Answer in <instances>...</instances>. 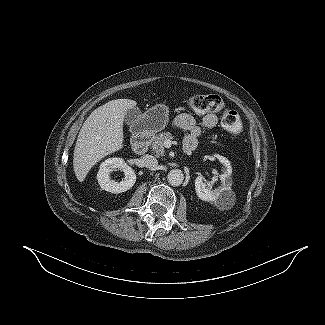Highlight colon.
Instances as JSON below:
<instances>
[{"label":"colon","mask_w":325,"mask_h":325,"mask_svg":"<svg viewBox=\"0 0 325 325\" xmlns=\"http://www.w3.org/2000/svg\"><path fill=\"white\" fill-rule=\"evenodd\" d=\"M189 107L196 114L222 112L223 127L232 135H239L242 132L243 127L239 114L237 111L227 108L219 95H194L189 99Z\"/></svg>","instance_id":"5ec220e1"}]
</instances>
